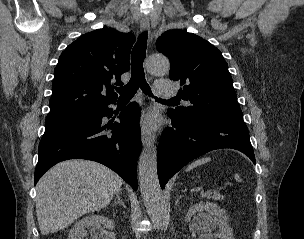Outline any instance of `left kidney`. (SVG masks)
Wrapping results in <instances>:
<instances>
[{"mask_svg":"<svg viewBox=\"0 0 304 239\" xmlns=\"http://www.w3.org/2000/svg\"><path fill=\"white\" fill-rule=\"evenodd\" d=\"M193 218L192 230L199 233L198 239H234L233 231L228 223V215L225 210L211 202H201L191 206L186 214L185 220ZM218 228L213 236L211 231Z\"/></svg>","mask_w":304,"mask_h":239,"instance_id":"obj_1","label":"left kidney"}]
</instances>
